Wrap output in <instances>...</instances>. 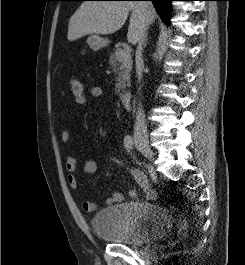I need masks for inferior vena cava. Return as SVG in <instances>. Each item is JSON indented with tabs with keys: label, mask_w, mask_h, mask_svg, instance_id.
Instances as JSON below:
<instances>
[{
	"label": "inferior vena cava",
	"mask_w": 245,
	"mask_h": 265,
	"mask_svg": "<svg viewBox=\"0 0 245 265\" xmlns=\"http://www.w3.org/2000/svg\"><path fill=\"white\" fill-rule=\"evenodd\" d=\"M139 6H140L141 11H142V20H141L142 25H141V28L139 30L138 46H137V50H136L135 63H136L137 78L140 81L142 78V70L144 68V62L142 59V52H143V47H145L146 32H147L149 25L152 22V12H151L152 4H151V2L141 1V2H139ZM134 131H135L136 135L145 134L147 131L144 111L142 110V106H140V105H139V108L137 109V113H136Z\"/></svg>",
	"instance_id": "602c4592"
}]
</instances>
